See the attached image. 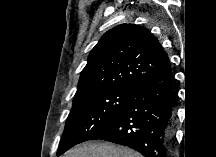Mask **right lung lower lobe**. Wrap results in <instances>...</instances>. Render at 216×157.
Instances as JSON below:
<instances>
[{
	"instance_id": "obj_1",
	"label": "right lung lower lobe",
	"mask_w": 216,
	"mask_h": 157,
	"mask_svg": "<svg viewBox=\"0 0 216 157\" xmlns=\"http://www.w3.org/2000/svg\"><path fill=\"white\" fill-rule=\"evenodd\" d=\"M174 85L171 64L132 87L120 115L91 140L126 145L144 157H169L173 140Z\"/></svg>"
}]
</instances>
